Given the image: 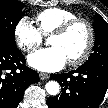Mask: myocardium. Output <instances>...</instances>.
I'll return each instance as SVG.
<instances>
[{"label":"myocardium","instance_id":"1","mask_svg":"<svg viewBox=\"0 0 108 108\" xmlns=\"http://www.w3.org/2000/svg\"><path fill=\"white\" fill-rule=\"evenodd\" d=\"M78 24H82L87 29L88 41H87V44H86L83 52L79 56L68 60V64L71 66H78V65L84 63L89 58V56L94 48L95 29H94L92 23L85 18L75 17L73 19L66 21L62 25H60L51 34V36H63L66 33H68L74 26H76Z\"/></svg>","mask_w":108,"mask_h":108}]
</instances>
